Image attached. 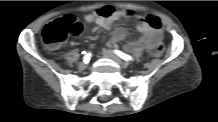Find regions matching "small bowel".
Masks as SVG:
<instances>
[{
	"instance_id": "small-bowel-1",
	"label": "small bowel",
	"mask_w": 218,
	"mask_h": 122,
	"mask_svg": "<svg viewBox=\"0 0 218 122\" xmlns=\"http://www.w3.org/2000/svg\"><path fill=\"white\" fill-rule=\"evenodd\" d=\"M134 18L136 28L142 36L126 45V50L134 52L138 49H145L152 55L156 51L157 45L161 43L163 32L161 28L152 27L148 22L143 20L137 13L128 10H116L111 6H103L96 11L90 12L84 16L87 23H95L92 32H96L98 27L105 30H111L114 22L121 18ZM126 37V30L119 27L113 31L111 43L122 41Z\"/></svg>"
}]
</instances>
